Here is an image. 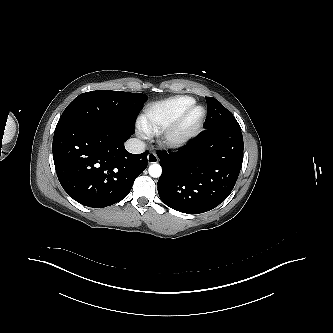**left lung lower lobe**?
<instances>
[{"mask_svg":"<svg viewBox=\"0 0 333 333\" xmlns=\"http://www.w3.org/2000/svg\"><path fill=\"white\" fill-rule=\"evenodd\" d=\"M205 127L176 153L159 152L160 199L170 208L199 214L221 204L237 181L243 161L241 128Z\"/></svg>","mask_w":333,"mask_h":333,"instance_id":"0a47b994","label":"left lung lower lobe"}]
</instances>
